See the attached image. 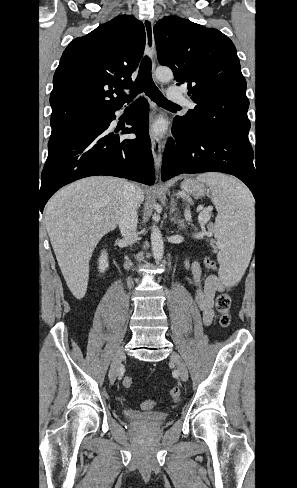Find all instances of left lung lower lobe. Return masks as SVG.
I'll use <instances>...</instances> for the list:
<instances>
[{
  "label": "left lung lower lobe",
  "mask_w": 297,
  "mask_h": 488,
  "mask_svg": "<svg viewBox=\"0 0 297 488\" xmlns=\"http://www.w3.org/2000/svg\"><path fill=\"white\" fill-rule=\"evenodd\" d=\"M172 133L163 156L162 181L183 173H228L243 181L257 199V168L250 143L220 133L188 131L176 118Z\"/></svg>",
  "instance_id": "1"
}]
</instances>
